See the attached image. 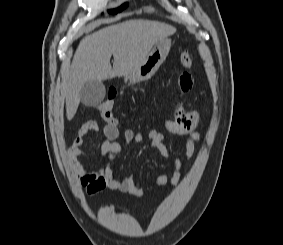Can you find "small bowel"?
I'll return each mask as SVG.
<instances>
[{"instance_id": "c3829d8e", "label": "small bowel", "mask_w": 283, "mask_h": 245, "mask_svg": "<svg viewBox=\"0 0 283 245\" xmlns=\"http://www.w3.org/2000/svg\"><path fill=\"white\" fill-rule=\"evenodd\" d=\"M179 88L183 92H188L193 87L192 75L188 72H183L179 77ZM200 123V114L197 112H186L178 110L173 118L166 120V129L179 136L185 144V154L187 159H191L196 151V147L200 141V134L197 128ZM99 129L96 121H88L84 123L75 138L73 144L68 149V157L70 165L75 173L78 182L84 186L90 195H98L106 189L116 190L120 192L130 193L135 196H142L144 191L137 187L132 174L127 175L123 179H116L113 175L111 163H108L98 172H88L81 161V147L84 142V137L92 131ZM102 132L104 140L101 144V155L109 161H113L121 150L130 143L139 144L144 140L141 132L134 131L131 128L126 129L123 135H120L116 124L107 123ZM156 149L163 157L170 156L169 150L164 144V135L157 129H151L148 132V141L142 149ZM185 175L180 158L174 159V171L170 178L166 175H158L155 178L157 186H165L170 184L176 186L180 183Z\"/></svg>"}]
</instances>
